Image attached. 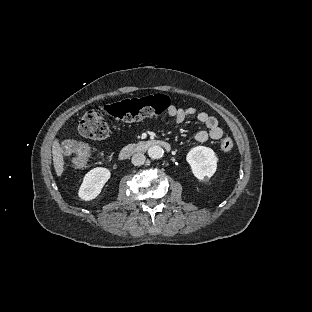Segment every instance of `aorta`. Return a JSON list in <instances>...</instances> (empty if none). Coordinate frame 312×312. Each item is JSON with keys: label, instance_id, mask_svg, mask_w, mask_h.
<instances>
[{"label": "aorta", "instance_id": "obj_1", "mask_svg": "<svg viewBox=\"0 0 312 312\" xmlns=\"http://www.w3.org/2000/svg\"><path fill=\"white\" fill-rule=\"evenodd\" d=\"M164 151L159 145L151 146L148 149V155L151 159H159L163 156Z\"/></svg>", "mask_w": 312, "mask_h": 312}]
</instances>
